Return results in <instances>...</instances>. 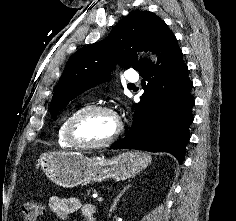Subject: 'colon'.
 Listing matches in <instances>:
<instances>
[{"mask_svg":"<svg viewBox=\"0 0 236 221\" xmlns=\"http://www.w3.org/2000/svg\"><path fill=\"white\" fill-rule=\"evenodd\" d=\"M21 212L23 221H37L43 212V207L34 200H27L23 202Z\"/></svg>","mask_w":236,"mask_h":221,"instance_id":"5ec220e1","label":"colon"}]
</instances>
